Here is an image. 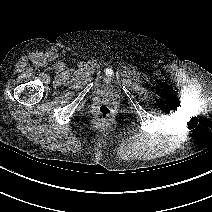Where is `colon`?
<instances>
[{"mask_svg": "<svg viewBox=\"0 0 212 212\" xmlns=\"http://www.w3.org/2000/svg\"><path fill=\"white\" fill-rule=\"evenodd\" d=\"M113 110L106 105L99 106L95 111V119L100 124H108L113 120Z\"/></svg>", "mask_w": 212, "mask_h": 212, "instance_id": "obj_1", "label": "colon"}]
</instances>
